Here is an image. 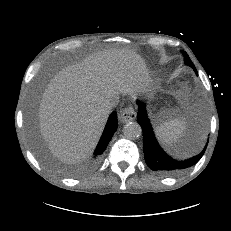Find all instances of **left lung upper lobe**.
I'll use <instances>...</instances> for the list:
<instances>
[{
    "mask_svg": "<svg viewBox=\"0 0 231 231\" xmlns=\"http://www.w3.org/2000/svg\"><path fill=\"white\" fill-rule=\"evenodd\" d=\"M181 52H182L183 55H184L185 63H186L188 66L192 67L193 70L197 73L196 68H195L194 64L192 63V61L190 60L188 54H187L185 51H181Z\"/></svg>",
    "mask_w": 231,
    "mask_h": 231,
    "instance_id": "1",
    "label": "left lung upper lobe"
}]
</instances>
